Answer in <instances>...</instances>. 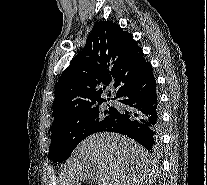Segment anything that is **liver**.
Wrapping results in <instances>:
<instances>
[{"label":"liver","mask_w":207,"mask_h":185,"mask_svg":"<svg viewBox=\"0 0 207 185\" xmlns=\"http://www.w3.org/2000/svg\"><path fill=\"white\" fill-rule=\"evenodd\" d=\"M155 163L147 149L119 133H94L84 139L63 169L61 185H150Z\"/></svg>","instance_id":"liver-1"}]
</instances>
